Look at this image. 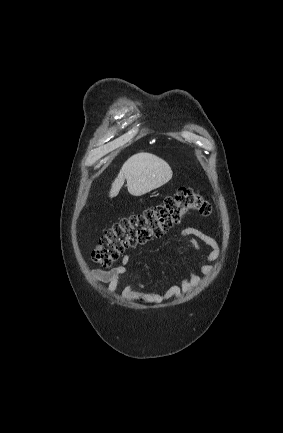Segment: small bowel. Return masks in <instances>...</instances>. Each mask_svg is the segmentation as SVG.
I'll return each mask as SVG.
<instances>
[{
    "mask_svg": "<svg viewBox=\"0 0 283 433\" xmlns=\"http://www.w3.org/2000/svg\"><path fill=\"white\" fill-rule=\"evenodd\" d=\"M182 239L188 240L191 247L195 252H199L202 245L209 247L210 251L205 256L203 262L200 264L199 271L201 274L211 273L213 267L210 262L218 258L220 254V247L218 242L205 233L204 231L195 227H185L179 233ZM130 256L124 255L121 263L110 270H94L92 277L100 282L108 285V290L114 293L119 285L120 280L128 274V264ZM201 277L196 271H191L187 276L181 279L177 284H169L162 292H152L146 290L141 284L137 287L127 285L122 290V295L126 298L139 297L150 303L162 304L171 299H177L182 294L188 293L195 287L200 285Z\"/></svg>",
    "mask_w": 283,
    "mask_h": 433,
    "instance_id": "small-bowel-1",
    "label": "small bowel"
}]
</instances>
